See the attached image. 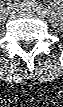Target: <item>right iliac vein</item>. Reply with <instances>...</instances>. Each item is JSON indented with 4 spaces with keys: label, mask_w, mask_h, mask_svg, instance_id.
Wrapping results in <instances>:
<instances>
[{
    "label": "right iliac vein",
    "mask_w": 63,
    "mask_h": 107,
    "mask_svg": "<svg viewBox=\"0 0 63 107\" xmlns=\"http://www.w3.org/2000/svg\"><path fill=\"white\" fill-rule=\"evenodd\" d=\"M8 13L11 17H14L16 14V8L14 6H10V8L8 9Z\"/></svg>",
    "instance_id": "right-iliac-vein-1"
}]
</instances>
